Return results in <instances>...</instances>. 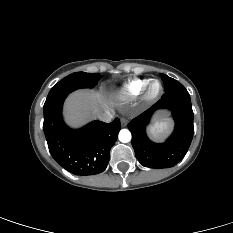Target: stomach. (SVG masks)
I'll list each match as a JSON object with an SVG mask.
<instances>
[{"label": "stomach", "instance_id": "1", "mask_svg": "<svg viewBox=\"0 0 233 233\" xmlns=\"http://www.w3.org/2000/svg\"><path fill=\"white\" fill-rule=\"evenodd\" d=\"M162 119H163V118H161V117H157V118H156V120H162Z\"/></svg>", "mask_w": 233, "mask_h": 233}]
</instances>
